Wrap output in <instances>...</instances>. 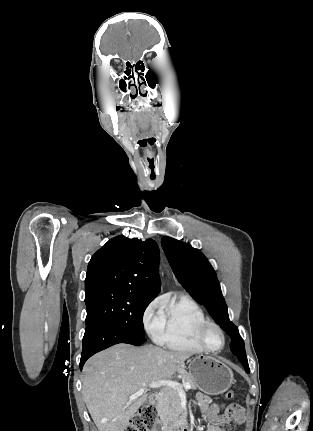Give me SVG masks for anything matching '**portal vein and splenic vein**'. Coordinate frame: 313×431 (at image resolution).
<instances>
[{"instance_id": "1", "label": "portal vein and splenic vein", "mask_w": 313, "mask_h": 431, "mask_svg": "<svg viewBox=\"0 0 313 431\" xmlns=\"http://www.w3.org/2000/svg\"><path fill=\"white\" fill-rule=\"evenodd\" d=\"M148 387L153 388V389H157V388H161V387H168V388H172V389L177 390L179 395H185L184 389H186V390L190 389L191 385L189 383L180 384L176 381H171V380H160V381L152 382ZM144 392H145V389L142 388L138 392H136L135 394L130 396V399H135V398L141 396Z\"/></svg>"}]
</instances>
